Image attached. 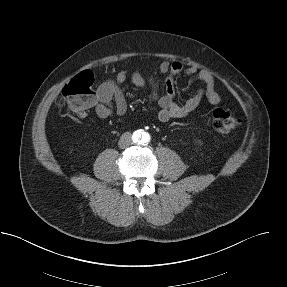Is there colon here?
<instances>
[{
  "instance_id": "colon-1",
  "label": "colon",
  "mask_w": 287,
  "mask_h": 287,
  "mask_svg": "<svg viewBox=\"0 0 287 287\" xmlns=\"http://www.w3.org/2000/svg\"><path fill=\"white\" fill-rule=\"evenodd\" d=\"M95 101L93 74L83 71L63 88L58 105L79 115L92 107ZM212 124L217 131L229 133L239 126L240 120L231 112L217 108L212 111Z\"/></svg>"
}]
</instances>
